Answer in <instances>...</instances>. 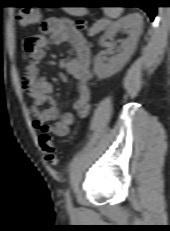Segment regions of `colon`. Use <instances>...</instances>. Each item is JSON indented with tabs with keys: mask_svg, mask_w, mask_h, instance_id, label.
Segmentation results:
<instances>
[{
	"mask_svg": "<svg viewBox=\"0 0 170 231\" xmlns=\"http://www.w3.org/2000/svg\"><path fill=\"white\" fill-rule=\"evenodd\" d=\"M18 20L22 26L33 25L40 20V14L34 8L25 7L19 11ZM78 25L82 28L84 27V22L78 21ZM36 47L37 40L35 37H29L25 40L24 49L27 52H33ZM39 143L46 161L49 162L51 165H56L58 162L56 156V147L52 138L48 134L43 133L39 138Z\"/></svg>",
	"mask_w": 170,
	"mask_h": 231,
	"instance_id": "obj_1",
	"label": "colon"
}]
</instances>
